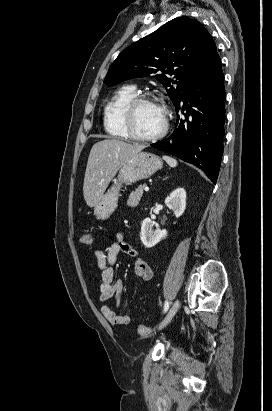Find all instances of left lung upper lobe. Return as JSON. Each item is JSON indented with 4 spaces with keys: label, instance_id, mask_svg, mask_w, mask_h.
Here are the masks:
<instances>
[{
    "label": "left lung upper lobe",
    "instance_id": "obj_1",
    "mask_svg": "<svg viewBox=\"0 0 272 411\" xmlns=\"http://www.w3.org/2000/svg\"><path fill=\"white\" fill-rule=\"evenodd\" d=\"M218 56L209 32L195 19L175 18L120 53L104 79L108 86L155 76L176 105Z\"/></svg>",
    "mask_w": 272,
    "mask_h": 411
}]
</instances>
